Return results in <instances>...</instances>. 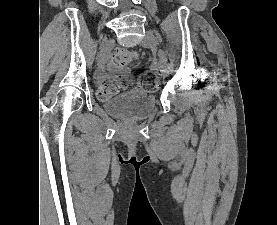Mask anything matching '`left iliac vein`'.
<instances>
[{
  "label": "left iliac vein",
  "instance_id": "1",
  "mask_svg": "<svg viewBox=\"0 0 277 225\" xmlns=\"http://www.w3.org/2000/svg\"><path fill=\"white\" fill-rule=\"evenodd\" d=\"M141 45L145 48L156 49L157 39L151 31H146L145 36L141 41ZM158 67H159V70L164 74L166 75L169 74L166 66V61L161 55H159Z\"/></svg>",
  "mask_w": 277,
  "mask_h": 225
}]
</instances>
